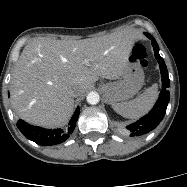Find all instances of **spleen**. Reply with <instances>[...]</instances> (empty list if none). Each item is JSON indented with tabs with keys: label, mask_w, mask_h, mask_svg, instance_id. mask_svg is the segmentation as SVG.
Masks as SVG:
<instances>
[{
	"label": "spleen",
	"mask_w": 187,
	"mask_h": 187,
	"mask_svg": "<svg viewBox=\"0 0 187 187\" xmlns=\"http://www.w3.org/2000/svg\"><path fill=\"white\" fill-rule=\"evenodd\" d=\"M157 97V85L153 84L135 99L128 102L114 103L112 107L123 117L136 119L146 114L152 108Z\"/></svg>",
	"instance_id": "3e777b00"
}]
</instances>
